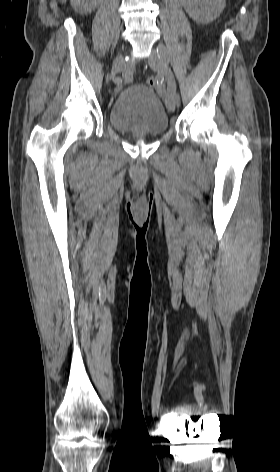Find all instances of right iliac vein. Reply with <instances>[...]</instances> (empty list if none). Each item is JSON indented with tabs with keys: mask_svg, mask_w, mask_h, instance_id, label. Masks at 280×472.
Returning a JSON list of instances; mask_svg holds the SVG:
<instances>
[{
	"mask_svg": "<svg viewBox=\"0 0 280 472\" xmlns=\"http://www.w3.org/2000/svg\"><path fill=\"white\" fill-rule=\"evenodd\" d=\"M124 59L122 55H119L115 58L112 70H111V78L116 75V73L120 72L123 69Z\"/></svg>",
	"mask_w": 280,
	"mask_h": 472,
	"instance_id": "1",
	"label": "right iliac vein"
}]
</instances>
